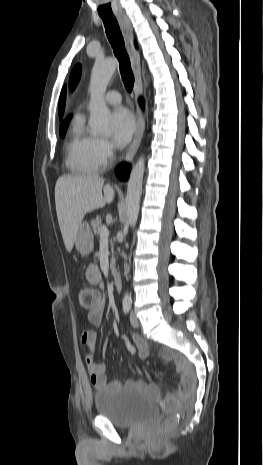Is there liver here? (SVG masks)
Listing matches in <instances>:
<instances>
[{
    "instance_id": "obj_1",
    "label": "liver",
    "mask_w": 263,
    "mask_h": 465,
    "mask_svg": "<svg viewBox=\"0 0 263 465\" xmlns=\"http://www.w3.org/2000/svg\"><path fill=\"white\" fill-rule=\"evenodd\" d=\"M103 190V193H102ZM114 199V190L96 175H62L55 185L58 223L68 252L84 216Z\"/></svg>"
}]
</instances>
